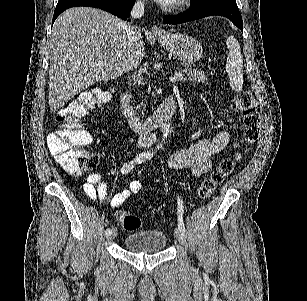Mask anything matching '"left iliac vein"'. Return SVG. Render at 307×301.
Returning <instances> with one entry per match:
<instances>
[{
    "mask_svg": "<svg viewBox=\"0 0 307 301\" xmlns=\"http://www.w3.org/2000/svg\"><path fill=\"white\" fill-rule=\"evenodd\" d=\"M175 237L176 240L178 241V243L184 247L187 246L186 240L184 238V235L182 234V232L179 230V228H175Z\"/></svg>",
    "mask_w": 307,
    "mask_h": 301,
    "instance_id": "4c4485c4",
    "label": "left iliac vein"
}]
</instances>
